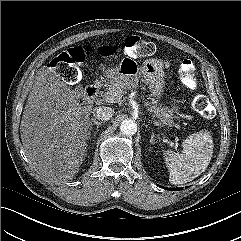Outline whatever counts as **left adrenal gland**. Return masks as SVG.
I'll return each instance as SVG.
<instances>
[{"label": "left adrenal gland", "mask_w": 241, "mask_h": 241, "mask_svg": "<svg viewBox=\"0 0 241 241\" xmlns=\"http://www.w3.org/2000/svg\"><path fill=\"white\" fill-rule=\"evenodd\" d=\"M150 143H151V144H154V143H155V134H154L153 131H152V134H151Z\"/></svg>", "instance_id": "a2214340"}]
</instances>
